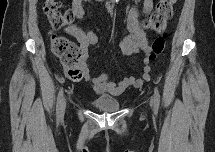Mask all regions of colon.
I'll list each match as a JSON object with an SVG mask.
<instances>
[{
  "mask_svg": "<svg viewBox=\"0 0 215 152\" xmlns=\"http://www.w3.org/2000/svg\"><path fill=\"white\" fill-rule=\"evenodd\" d=\"M175 0H161L157 3L154 12L145 22L147 28L155 31H163L167 21L172 17L173 5ZM60 3L56 0H47L44 4V13L46 14L53 30L64 26L72 25L76 19L73 11H61ZM166 44V35L156 38L145 58L146 65L142 71L147 70V64L153 62L164 51ZM50 47L52 52L59 57L66 76L72 80H79L83 75V52L73 42L64 36L52 33L50 37Z\"/></svg>",
  "mask_w": 215,
  "mask_h": 152,
  "instance_id": "1",
  "label": "colon"
}]
</instances>
